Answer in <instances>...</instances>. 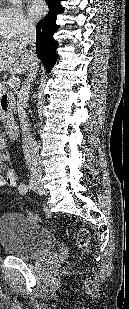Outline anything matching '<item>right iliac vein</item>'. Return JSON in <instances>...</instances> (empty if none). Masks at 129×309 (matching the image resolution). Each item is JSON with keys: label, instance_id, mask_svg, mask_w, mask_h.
Segmentation results:
<instances>
[{"label": "right iliac vein", "instance_id": "63e3f726", "mask_svg": "<svg viewBox=\"0 0 129 309\" xmlns=\"http://www.w3.org/2000/svg\"><path fill=\"white\" fill-rule=\"evenodd\" d=\"M29 185L32 189L38 191L39 193L41 194H44L45 193V190L43 189L42 187V184H41V181L39 178L37 177H32L30 179V182H29Z\"/></svg>", "mask_w": 129, "mask_h": 309}]
</instances>
